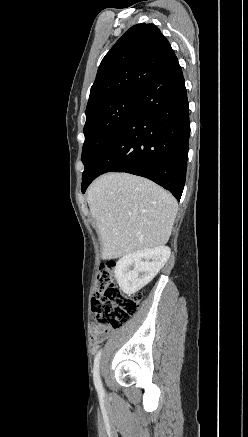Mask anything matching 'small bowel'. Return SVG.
I'll return each mask as SVG.
<instances>
[{
  "label": "small bowel",
  "instance_id": "small-bowel-1",
  "mask_svg": "<svg viewBox=\"0 0 248 437\" xmlns=\"http://www.w3.org/2000/svg\"><path fill=\"white\" fill-rule=\"evenodd\" d=\"M111 333V330L108 328H101V327H92L91 328V339L94 346H97L99 343H101L109 334Z\"/></svg>",
  "mask_w": 248,
  "mask_h": 437
}]
</instances>
